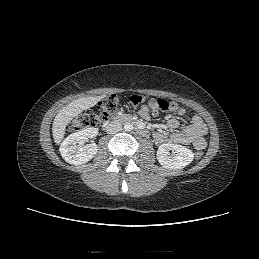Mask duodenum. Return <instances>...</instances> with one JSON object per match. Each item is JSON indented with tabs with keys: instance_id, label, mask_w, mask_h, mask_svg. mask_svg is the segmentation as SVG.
<instances>
[{
	"instance_id": "duodenum-1",
	"label": "duodenum",
	"mask_w": 259,
	"mask_h": 259,
	"mask_svg": "<svg viewBox=\"0 0 259 259\" xmlns=\"http://www.w3.org/2000/svg\"><path fill=\"white\" fill-rule=\"evenodd\" d=\"M117 121H123V122H127V123H135L137 125V131L140 135L144 136L147 134V131L144 129V127L138 123L134 117H132L131 115H120V116H114L110 119L107 120L106 125H110L113 122H117Z\"/></svg>"
}]
</instances>
